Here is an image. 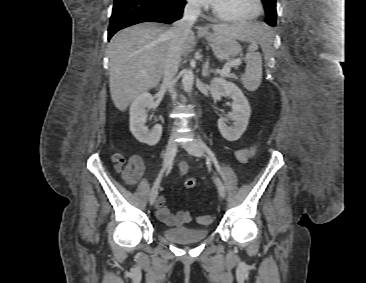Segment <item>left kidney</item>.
<instances>
[{"mask_svg": "<svg viewBox=\"0 0 366 283\" xmlns=\"http://www.w3.org/2000/svg\"><path fill=\"white\" fill-rule=\"evenodd\" d=\"M210 91L215 101H220L225 96L233 99L232 112L227 115L228 119L234 121L233 126H228L227 118L222 117L218 120V129L226 140H238L245 132L251 115L248 100L237 85L223 78H213L210 83Z\"/></svg>", "mask_w": 366, "mask_h": 283, "instance_id": "5707ae66", "label": "left kidney"}]
</instances>
